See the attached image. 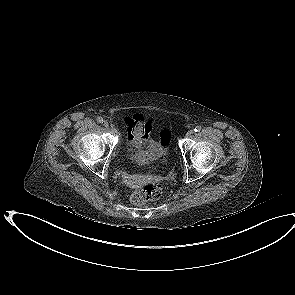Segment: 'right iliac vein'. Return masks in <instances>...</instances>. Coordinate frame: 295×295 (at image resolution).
I'll list each match as a JSON object with an SVG mask.
<instances>
[{
	"mask_svg": "<svg viewBox=\"0 0 295 295\" xmlns=\"http://www.w3.org/2000/svg\"><path fill=\"white\" fill-rule=\"evenodd\" d=\"M104 127L108 128L109 127V123L107 121H104L103 123Z\"/></svg>",
	"mask_w": 295,
	"mask_h": 295,
	"instance_id": "right-iliac-vein-1",
	"label": "right iliac vein"
}]
</instances>
